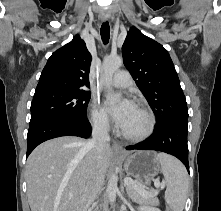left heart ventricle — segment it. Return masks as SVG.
Segmentation results:
<instances>
[{"label":"left heart ventricle","mask_w":221,"mask_h":211,"mask_svg":"<svg viewBox=\"0 0 221 211\" xmlns=\"http://www.w3.org/2000/svg\"><path fill=\"white\" fill-rule=\"evenodd\" d=\"M147 123L146 114L134 105L121 130L129 135H138L144 132Z\"/></svg>","instance_id":"obj_1"}]
</instances>
